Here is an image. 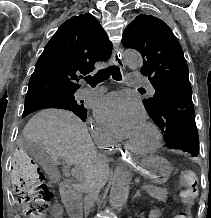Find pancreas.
Segmentation results:
<instances>
[{
  "label": "pancreas",
  "mask_w": 211,
  "mask_h": 218,
  "mask_svg": "<svg viewBox=\"0 0 211 218\" xmlns=\"http://www.w3.org/2000/svg\"><path fill=\"white\" fill-rule=\"evenodd\" d=\"M145 189L147 190L148 194L152 196V198H155V200H160V202H165L168 196L166 188H155V186H147ZM70 204L80 205L81 201L79 200V196L75 195L74 199H70Z\"/></svg>",
  "instance_id": "cf45deb5"
}]
</instances>
